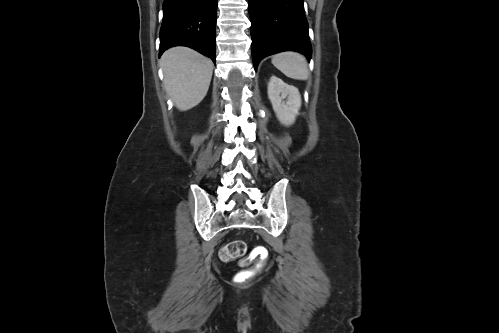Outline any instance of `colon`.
Listing matches in <instances>:
<instances>
[{
    "label": "colon",
    "mask_w": 499,
    "mask_h": 333,
    "mask_svg": "<svg viewBox=\"0 0 499 333\" xmlns=\"http://www.w3.org/2000/svg\"><path fill=\"white\" fill-rule=\"evenodd\" d=\"M247 250L246 243L242 240H235L229 242L222 247L220 251V257L223 261H230L233 259H240V265L242 267L248 266L254 259L258 258L263 261L267 258V250L263 247L254 250L249 256H245ZM253 272H243L239 275V279H244L249 277Z\"/></svg>",
    "instance_id": "obj_1"
}]
</instances>
